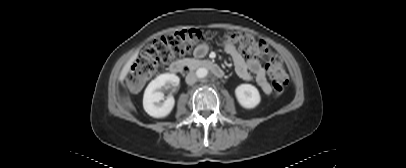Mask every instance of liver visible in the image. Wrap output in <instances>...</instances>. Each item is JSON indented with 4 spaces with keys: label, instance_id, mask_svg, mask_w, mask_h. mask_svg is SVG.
Returning <instances> with one entry per match:
<instances>
[{
    "label": "liver",
    "instance_id": "obj_1",
    "mask_svg": "<svg viewBox=\"0 0 406 168\" xmlns=\"http://www.w3.org/2000/svg\"><path fill=\"white\" fill-rule=\"evenodd\" d=\"M136 58H137V54H134V55L127 61V63L124 65V67L122 68L121 73H120V76H119V81H120L121 83H123L124 79L126 78L128 72H129V70H130V68H131V65H132L133 62L136 60Z\"/></svg>",
    "mask_w": 406,
    "mask_h": 168
}]
</instances>
